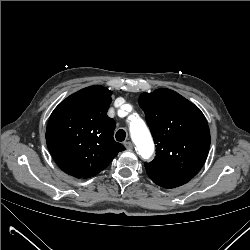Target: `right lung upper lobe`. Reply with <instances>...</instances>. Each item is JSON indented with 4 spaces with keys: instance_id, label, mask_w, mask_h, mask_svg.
<instances>
[{
    "instance_id": "1",
    "label": "right lung upper lobe",
    "mask_w": 250,
    "mask_h": 250,
    "mask_svg": "<svg viewBox=\"0 0 250 250\" xmlns=\"http://www.w3.org/2000/svg\"><path fill=\"white\" fill-rule=\"evenodd\" d=\"M112 92L100 85L70 95L52 112L46 142L65 173L90 178L104 168L125 147L115 142V121L107 116Z\"/></svg>"
}]
</instances>
